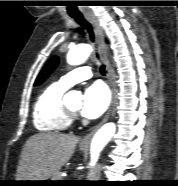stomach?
Masks as SVG:
<instances>
[{
    "label": "stomach",
    "mask_w": 178,
    "mask_h": 186,
    "mask_svg": "<svg viewBox=\"0 0 178 186\" xmlns=\"http://www.w3.org/2000/svg\"><path fill=\"white\" fill-rule=\"evenodd\" d=\"M85 147H86L85 145L80 144V149H81V150L85 149Z\"/></svg>",
    "instance_id": "1"
}]
</instances>
